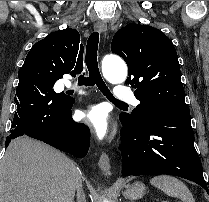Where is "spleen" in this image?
Masks as SVG:
<instances>
[{
	"instance_id": "3e777b00",
	"label": "spleen",
	"mask_w": 209,
	"mask_h": 202,
	"mask_svg": "<svg viewBox=\"0 0 209 202\" xmlns=\"http://www.w3.org/2000/svg\"><path fill=\"white\" fill-rule=\"evenodd\" d=\"M150 184L168 196L181 199L182 202H195L187 186L176 177L169 175L155 176L150 180Z\"/></svg>"
}]
</instances>
